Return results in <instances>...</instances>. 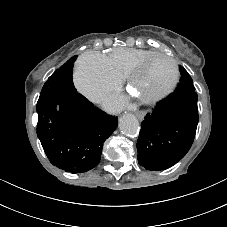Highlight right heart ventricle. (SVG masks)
I'll list each match as a JSON object with an SVG mask.
<instances>
[{
	"label": "right heart ventricle",
	"instance_id": "1",
	"mask_svg": "<svg viewBox=\"0 0 227 227\" xmlns=\"http://www.w3.org/2000/svg\"><path fill=\"white\" fill-rule=\"evenodd\" d=\"M156 53L151 49L119 47L112 50L107 58L113 71L122 79L144 58Z\"/></svg>",
	"mask_w": 227,
	"mask_h": 227
}]
</instances>
